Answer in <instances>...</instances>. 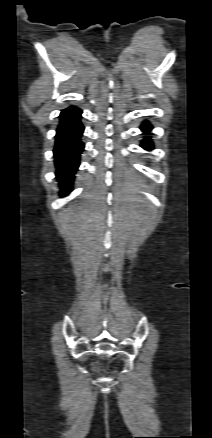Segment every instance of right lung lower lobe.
<instances>
[{
	"mask_svg": "<svg viewBox=\"0 0 212 438\" xmlns=\"http://www.w3.org/2000/svg\"><path fill=\"white\" fill-rule=\"evenodd\" d=\"M82 110L77 107H69L60 114V125L56 134L54 148L55 165L57 176L60 179L61 196L67 195L72 189L73 175L79 166V157L84 149L80 140L84 127L81 119Z\"/></svg>",
	"mask_w": 212,
	"mask_h": 438,
	"instance_id": "obj_1",
	"label": "right lung lower lobe"
}]
</instances>
